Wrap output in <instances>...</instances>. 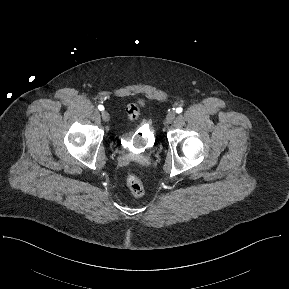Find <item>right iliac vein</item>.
Wrapping results in <instances>:
<instances>
[{
    "label": "right iliac vein",
    "instance_id": "63e3f726",
    "mask_svg": "<svg viewBox=\"0 0 289 289\" xmlns=\"http://www.w3.org/2000/svg\"><path fill=\"white\" fill-rule=\"evenodd\" d=\"M102 118L103 120L107 121L108 120V113L106 111L102 112Z\"/></svg>",
    "mask_w": 289,
    "mask_h": 289
}]
</instances>
